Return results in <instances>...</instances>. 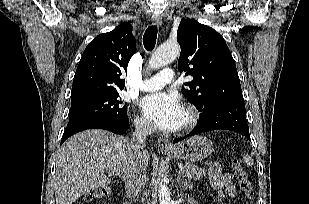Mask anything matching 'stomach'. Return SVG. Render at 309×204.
I'll return each mask as SVG.
<instances>
[{
    "label": "stomach",
    "instance_id": "0dacf381",
    "mask_svg": "<svg viewBox=\"0 0 309 204\" xmlns=\"http://www.w3.org/2000/svg\"><path fill=\"white\" fill-rule=\"evenodd\" d=\"M214 150L210 139L202 135H196L174 146L164 153L175 159H184L190 162L201 161L207 158Z\"/></svg>",
    "mask_w": 309,
    "mask_h": 204
}]
</instances>
